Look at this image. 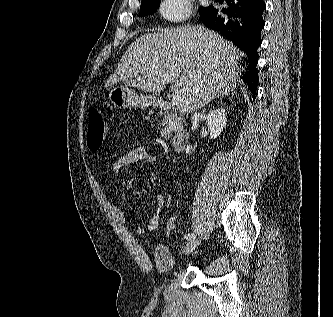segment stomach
<instances>
[{
	"mask_svg": "<svg viewBox=\"0 0 333 317\" xmlns=\"http://www.w3.org/2000/svg\"><path fill=\"white\" fill-rule=\"evenodd\" d=\"M109 100L114 107L125 109L129 107H147L156 103L154 96L137 94L127 86H115L109 92Z\"/></svg>",
	"mask_w": 333,
	"mask_h": 317,
	"instance_id": "0dacf381",
	"label": "stomach"
}]
</instances>
